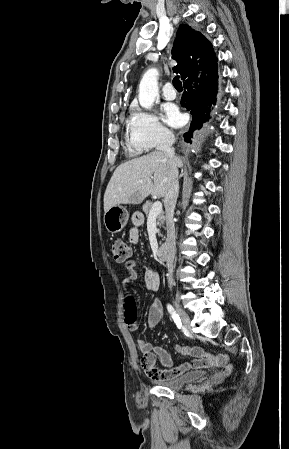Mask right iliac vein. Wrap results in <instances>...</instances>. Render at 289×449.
Masks as SVG:
<instances>
[{
    "instance_id": "1",
    "label": "right iliac vein",
    "mask_w": 289,
    "mask_h": 449,
    "mask_svg": "<svg viewBox=\"0 0 289 449\" xmlns=\"http://www.w3.org/2000/svg\"><path fill=\"white\" fill-rule=\"evenodd\" d=\"M174 304H175V306H176V309H177V311H178V314L180 315V318H181V320H182L183 326H184L186 329L190 330L191 325H190V318H189L188 314L186 313L185 310H183V309L179 306V304H177L176 301H174Z\"/></svg>"
}]
</instances>
